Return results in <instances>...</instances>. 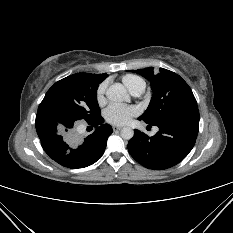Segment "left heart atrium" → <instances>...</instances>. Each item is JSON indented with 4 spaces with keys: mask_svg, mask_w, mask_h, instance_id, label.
<instances>
[{
    "mask_svg": "<svg viewBox=\"0 0 233 233\" xmlns=\"http://www.w3.org/2000/svg\"><path fill=\"white\" fill-rule=\"evenodd\" d=\"M138 109L134 106L111 104L103 112L106 122L113 125H125L138 114Z\"/></svg>",
    "mask_w": 233,
    "mask_h": 233,
    "instance_id": "obj_1",
    "label": "left heart atrium"
}]
</instances>
